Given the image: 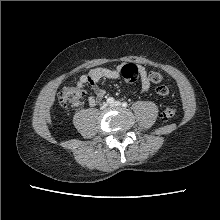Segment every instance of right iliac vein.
Returning <instances> with one entry per match:
<instances>
[{
  "instance_id": "63e3f726",
  "label": "right iliac vein",
  "mask_w": 220,
  "mask_h": 220,
  "mask_svg": "<svg viewBox=\"0 0 220 220\" xmlns=\"http://www.w3.org/2000/svg\"><path fill=\"white\" fill-rule=\"evenodd\" d=\"M107 107V104L106 103H103L102 104V108H106Z\"/></svg>"
}]
</instances>
